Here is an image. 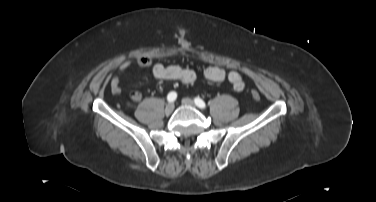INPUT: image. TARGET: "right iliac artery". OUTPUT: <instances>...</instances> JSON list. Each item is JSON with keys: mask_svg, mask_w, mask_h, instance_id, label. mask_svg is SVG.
Instances as JSON below:
<instances>
[{"mask_svg": "<svg viewBox=\"0 0 376 202\" xmlns=\"http://www.w3.org/2000/svg\"><path fill=\"white\" fill-rule=\"evenodd\" d=\"M176 98H177V93L175 91H171L167 96L168 102H174Z\"/></svg>", "mask_w": 376, "mask_h": 202, "instance_id": "right-iliac-artery-1", "label": "right iliac artery"}]
</instances>
